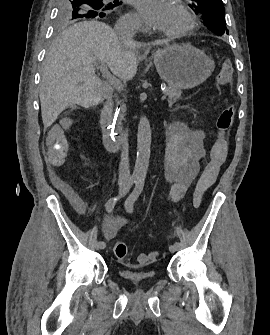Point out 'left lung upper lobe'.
<instances>
[{
  "label": "left lung upper lobe",
  "instance_id": "5c2ea615",
  "mask_svg": "<svg viewBox=\"0 0 270 335\" xmlns=\"http://www.w3.org/2000/svg\"><path fill=\"white\" fill-rule=\"evenodd\" d=\"M189 7L201 15L209 29L218 35L228 34L222 0H192Z\"/></svg>",
  "mask_w": 270,
  "mask_h": 335
}]
</instances>
